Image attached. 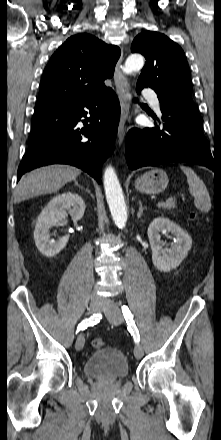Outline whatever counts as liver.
Listing matches in <instances>:
<instances>
[{
    "label": "liver",
    "instance_id": "1",
    "mask_svg": "<svg viewBox=\"0 0 221 440\" xmlns=\"http://www.w3.org/2000/svg\"><path fill=\"white\" fill-rule=\"evenodd\" d=\"M80 173V169L69 165H52L36 169L19 181L15 190V201L54 193L66 183L75 180Z\"/></svg>",
    "mask_w": 221,
    "mask_h": 440
}]
</instances>
